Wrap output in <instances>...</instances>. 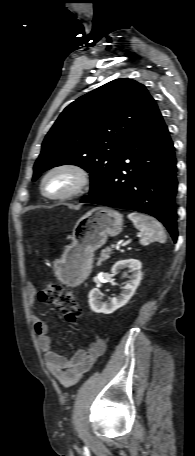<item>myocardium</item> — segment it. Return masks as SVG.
I'll list each match as a JSON object with an SVG mask.
<instances>
[{
  "label": "myocardium",
  "instance_id": "f54148a6",
  "mask_svg": "<svg viewBox=\"0 0 195 456\" xmlns=\"http://www.w3.org/2000/svg\"><path fill=\"white\" fill-rule=\"evenodd\" d=\"M59 171L72 172L73 174H75V176L77 178V182L70 191H68L64 194H60V195L49 194L46 191V187H45L46 180L48 179V177L50 175H52L53 173L59 172ZM89 183H90V175H89V172L84 167H82L78 164H74V163H63V164L53 166L44 174V176L42 177V180H41V192L45 197H47L51 200L64 201V200L74 198V197L80 195L81 193H83L86 190V188L89 186Z\"/></svg>",
  "mask_w": 195,
  "mask_h": 456
}]
</instances>
